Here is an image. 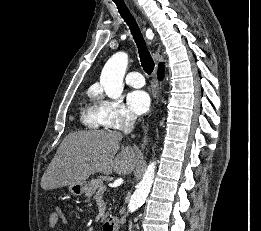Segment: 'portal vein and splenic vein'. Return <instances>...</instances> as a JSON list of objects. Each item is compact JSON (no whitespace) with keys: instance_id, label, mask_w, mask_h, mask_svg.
<instances>
[{"instance_id":"1","label":"portal vein and splenic vein","mask_w":261,"mask_h":231,"mask_svg":"<svg viewBox=\"0 0 261 231\" xmlns=\"http://www.w3.org/2000/svg\"><path fill=\"white\" fill-rule=\"evenodd\" d=\"M106 190V187L100 188V192H104Z\"/></svg>"}]
</instances>
